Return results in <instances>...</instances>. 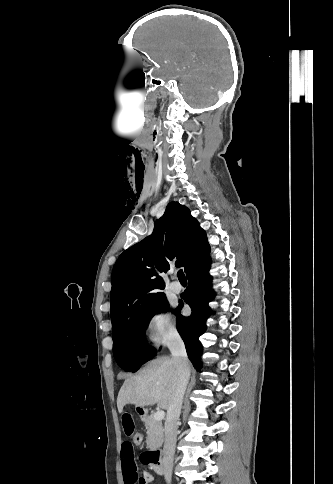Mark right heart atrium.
Returning <instances> with one entry per match:
<instances>
[{
    "instance_id": "right-heart-atrium-1",
    "label": "right heart atrium",
    "mask_w": 333,
    "mask_h": 484,
    "mask_svg": "<svg viewBox=\"0 0 333 484\" xmlns=\"http://www.w3.org/2000/svg\"><path fill=\"white\" fill-rule=\"evenodd\" d=\"M148 339L155 345H164L177 335L170 312L160 308L150 314L146 322Z\"/></svg>"
}]
</instances>
